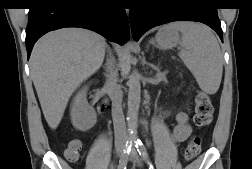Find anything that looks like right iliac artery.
<instances>
[{
    "label": "right iliac artery",
    "instance_id": "right-iliac-artery-1",
    "mask_svg": "<svg viewBox=\"0 0 252 169\" xmlns=\"http://www.w3.org/2000/svg\"><path fill=\"white\" fill-rule=\"evenodd\" d=\"M131 146H132V141H127L126 147L123 150V153H122L121 158L119 160L118 169H126L128 156L131 151Z\"/></svg>",
    "mask_w": 252,
    "mask_h": 169
}]
</instances>
